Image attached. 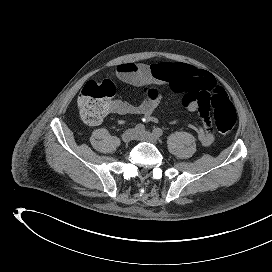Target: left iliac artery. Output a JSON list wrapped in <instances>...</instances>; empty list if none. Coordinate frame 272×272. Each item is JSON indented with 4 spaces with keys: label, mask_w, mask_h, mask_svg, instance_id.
<instances>
[{
    "label": "left iliac artery",
    "mask_w": 272,
    "mask_h": 272,
    "mask_svg": "<svg viewBox=\"0 0 272 272\" xmlns=\"http://www.w3.org/2000/svg\"><path fill=\"white\" fill-rule=\"evenodd\" d=\"M153 134L156 136V137H161L163 135V130L161 128H155L153 130Z\"/></svg>",
    "instance_id": "1"
}]
</instances>
